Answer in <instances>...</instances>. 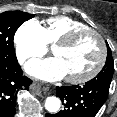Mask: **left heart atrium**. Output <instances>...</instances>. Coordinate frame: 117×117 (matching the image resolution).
Here are the masks:
<instances>
[{
    "label": "left heart atrium",
    "instance_id": "1",
    "mask_svg": "<svg viewBox=\"0 0 117 117\" xmlns=\"http://www.w3.org/2000/svg\"><path fill=\"white\" fill-rule=\"evenodd\" d=\"M27 72L45 81H57L66 76L64 67L57 57L33 61L27 65Z\"/></svg>",
    "mask_w": 117,
    "mask_h": 117
}]
</instances>
